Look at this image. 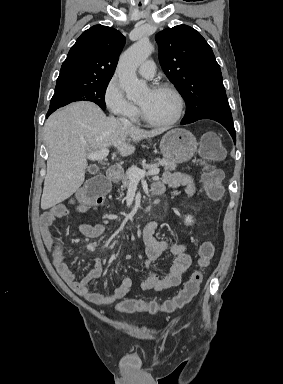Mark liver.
I'll return each mask as SVG.
<instances>
[{
  "mask_svg": "<svg viewBox=\"0 0 283 384\" xmlns=\"http://www.w3.org/2000/svg\"><path fill=\"white\" fill-rule=\"evenodd\" d=\"M48 148L47 174L41 198L42 210H48L70 198L85 178L88 152L114 146L121 156H131L135 146L128 138L140 142L154 138L165 130H140L125 126L117 118H106L93 102H74L54 112L45 122Z\"/></svg>",
  "mask_w": 283,
  "mask_h": 384,
  "instance_id": "liver-1",
  "label": "liver"
}]
</instances>
